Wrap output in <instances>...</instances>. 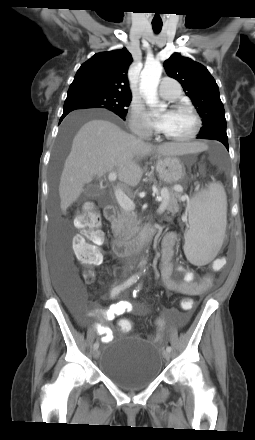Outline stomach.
I'll use <instances>...</instances> for the list:
<instances>
[{"mask_svg": "<svg viewBox=\"0 0 255 440\" xmlns=\"http://www.w3.org/2000/svg\"><path fill=\"white\" fill-rule=\"evenodd\" d=\"M156 171L159 178L167 184L180 182L185 176V167L180 159L174 156L158 158Z\"/></svg>", "mask_w": 255, "mask_h": 440, "instance_id": "1", "label": "stomach"}]
</instances>
